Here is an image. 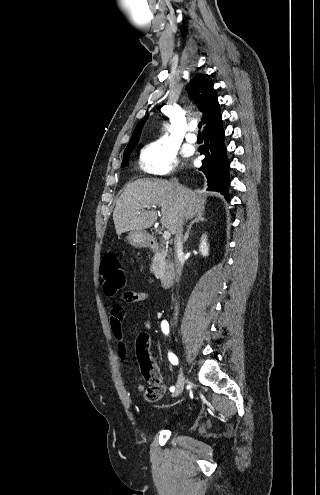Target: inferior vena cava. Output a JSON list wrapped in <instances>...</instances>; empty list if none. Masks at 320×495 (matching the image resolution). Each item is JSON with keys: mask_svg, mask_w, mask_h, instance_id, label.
<instances>
[{"mask_svg": "<svg viewBox=\"0 0 320 495\" xmlns=\"http://www.w3.org/2000/svg\"><path fill=\"white\" fill-rule=\"evenodd\" d=\"M172 184L175 188L178 189L179 184H178L177 179H172ZM174 251H175L174 262H175V266H176V282L179 283V280L181 277V272H182L181 257L183 254V220L182 219H180V221L178 223V227H177L176 232H175ZM178 311H179V306H178V303H176L175 319H177Z\"/></svg>", "mask_w": 320, "mask_h": 495, "instance_id": "obj_1", "label": "inferior vena cava"}]
</instances>
